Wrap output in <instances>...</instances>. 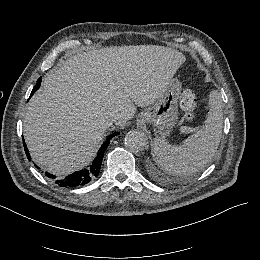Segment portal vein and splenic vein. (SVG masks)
Here are the masks:
<instances>
[{
    "instance_id": "1",
    "label": "portal vein and splenic vein",
    "mask_w": 260,
    "mask_h": 260,
    "mask_svg": "<svg viewBox=\"0 0 260 260\" xmlns=\"http://www.w3.org/2000/svg\"><path fill=\"white\" fill-rule=\"evenodd\" d=\"M186 131H187V127L186 126H181L180 127V132L181 133H186Z\"/></svg>"
}]
</instances>
